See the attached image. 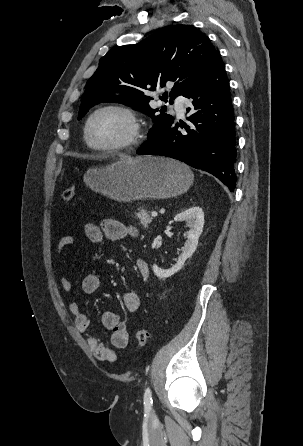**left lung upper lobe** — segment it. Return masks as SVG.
I'll return each mask as SVG.
<instances>
[{"mask_svg": "<svg viewBox=\"0 0 303 446\" xmlns=\"http://www.w3.org/2000/svg\"><path fill=\"white\" fill-rule=\"evenodd\" d=\"M219 51L194 26L162 28L135 45L115 47L100 59L82 95L78 119L101 102H117L152 117L149 141L174 121L162 109H152L145 90L164 88L174 82L170 98L187 92L207 71ZM166 101L164 98L160 97ZM172 103V100H170Z\"/></svg>", "mask_w": 303, "mask_h": 446, "instance_id": "1", "label": "left lung upper lobe"}]
</instances>
